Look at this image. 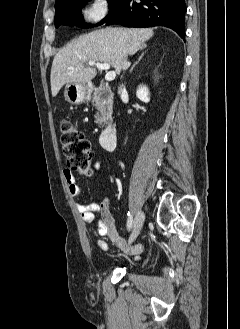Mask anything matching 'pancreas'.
<instances>
[{
  "label": "pancreas",
  "mask_w": 240,
  "mask_h": 329,
  "mask_svg": "<svg viewBox=\"0 0 240 329\" xmlns=\"http://www.w3.org/2000/svg\"><path fill=\"white\" fill-rule=\"evenodd\" d=\"M92 103L98 111L95 115V123L98 125L107 124L112 116V97L104 89H99L94 93Z\"/></svg>",
  "instance_id": "obj_1"
}]
</instances>
